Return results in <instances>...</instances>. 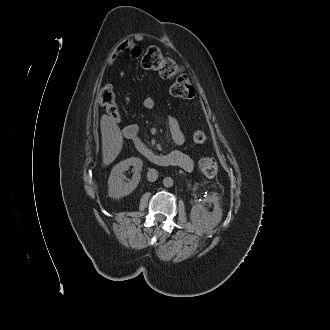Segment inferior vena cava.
I'll return each instance as SVG.
<instances>
[{
  "label": "inferior vena cava",
  "instance_id": "inferior-vena-cava-1",
  "mask_svg": "<svg viewBox=\"0 0 330 330\" xmlns=\"http://www.w3.org/2000/svg\"><path fill=\"white\" fill-rule=\"evenodd\" d=\"M158 178V172L156 169H149L148 173H147V179L150 182H154L156 181Z\"/></svg>",
  "mask_w": 330,
  "mask_h": 330
}]
</instances>
